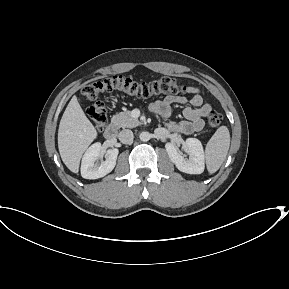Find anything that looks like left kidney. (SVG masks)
<instances>
[{"mask_svg":"<svg viewBox=\"0 0 289 289\" xmlns=\"http://www.w3.org/2000/svg\"><path fill=\"white\" fill-rule=\"evenodd\" d=\"M185 147L189 158L179 152L172 143L165 145L170 160L178 170L188 174H201L204 171V150L201 142L196 138H188Z\"/></svg>","mask_w":289,"mask_h":289,"instance_id":"left-kidney-1","label":"left kidney"}]
</instances>
